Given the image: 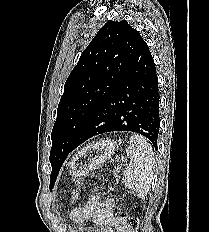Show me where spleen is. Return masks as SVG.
<instances>
[{
    "mask_svg": "<svg viewBox=\"0 0 209 232\" xmlns=\"http://www.w3.org/2000/svg\"><path fill=\"white\" fill-rule=\"evenodd\" d=\"M130 162L125 166L123 183L138 196L148 193L154 174V153L151 145L141 135H133L126 149Z\"/></svg>",
    "mask_w": 209,
    "mask_h": 232,
    "instance_id": "1",
    "label": "spleen"
}]
</instances>
